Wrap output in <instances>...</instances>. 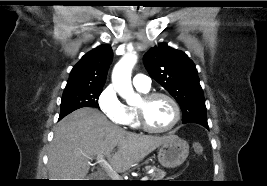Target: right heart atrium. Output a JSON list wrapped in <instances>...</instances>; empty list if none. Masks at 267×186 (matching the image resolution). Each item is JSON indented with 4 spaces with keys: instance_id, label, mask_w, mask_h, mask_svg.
Returning a JSON list of instances; mask_svg holds the SVG:
<instances>
[{
    "instance_id": "obj_1",
    "label": "right heart atrium",
    "mask_w": 267,
    "mask_h": 186,
    "mask_svg": "<svg viewBox=\"0 0 267 186\" xmlns=\"http://www.w3.org/2000/svg\"><path fill=\"white\" fill-rule=\"evenodd\" d=\"M98 106L112 122L124 124V105L112 86L105 87L98 96Z\"/></svg>"
}]
</instances>
